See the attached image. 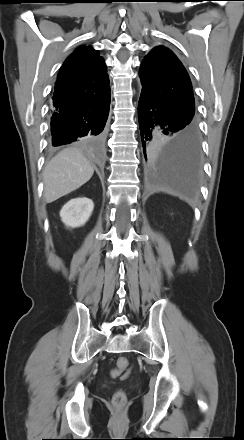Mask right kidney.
Masks as SVG:
<instances>
[{"instance_id": "1", "label": "right kidney", "mask_w": 244, "mask_h": 440, "mask_svg": "<svg viewBox=\"0 0 244 440\" xmlns=\"http://www.w3.org/2000/svg\"><path fill=\"white\" fill-rule=\"evenodd\" d=\"M94 209L93 201L87 197H78L68 201L60 211L62 222L71 228L83 226Z\"/></svg>"}]
</instances>
